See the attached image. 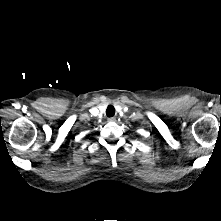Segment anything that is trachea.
<instances>
[{
    "label": "trachea",
    "instance_id": "trachea-1",
    "mask_svg": "<svg viewBox=\"0 0 221 221\" xmlns=\"http://www.w3.org/2000/svg\"><path fill=\"white\" fill-rule=\"evenodd\" d=\"M106 114L108 117H113L115 114V108L112 105H109L107 107Z\"/></svg>",
    "mask_w": 221,
    "mask_h": 221
}]
</instances>
